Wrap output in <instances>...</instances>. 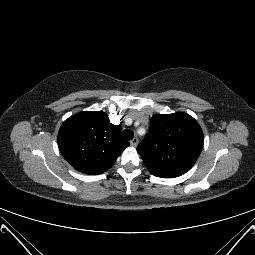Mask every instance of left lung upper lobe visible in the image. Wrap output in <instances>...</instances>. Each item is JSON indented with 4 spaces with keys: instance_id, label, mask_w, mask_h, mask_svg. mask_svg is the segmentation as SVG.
<instances>
[{
    "instance_id": "5c2ea615",
    "label": "left lung upper lobe",
    "mask_w": 255,
    "mask_h": 255,
    "mask_svg": "<svg viewBox=\"0 0 255 255\" xmlns=\"http://www.w3.org/2000/svg\"><path fill=\"white\" fill-rule=\"evenodd\" d=\"M203 142L201 127L190 115L157 114L151 118L149 133L137 151L154 176L172 178L194 165Z\"/></svg>"
}]
</instances>
